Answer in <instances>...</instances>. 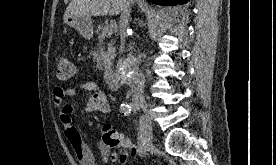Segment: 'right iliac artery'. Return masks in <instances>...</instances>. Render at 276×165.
<instances>
[{"instance_id": "82829eb1", "label": "right iliac artery", "mask_w": 276, "mask_h": 165, "mask_svg": "<svg viewBox=\"0 0 276 165\" xmlns=\"http://www.w3.org/2000/svg\"><path fill=\"white\" fill-rule=\"evenodd\" d=\"M132 111V107L129 104H121L120 112L124 115H129ZM139 154H144L146 152V144H147V131L146 126L143 118H140L139 121Z\"/></svg>"}]
</instances>
